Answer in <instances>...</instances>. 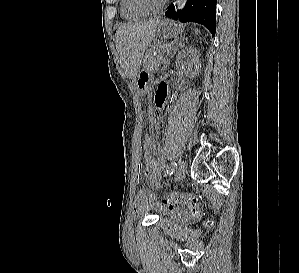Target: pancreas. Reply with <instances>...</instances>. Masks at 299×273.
Here are the masks:
<instances>
[{
	"instance_id": "pancreas-1",
	"label": "pancreas",
	"mask_w": 299,
	"mask_h": 273,
	"mask_svg": "<svg viewBox=\"0 0 299 273\" xmlns=\"http://www.w3.org/2000/svg\"><path fill=\"white\" fill-rule=\"evenodd\" d=\"M166 50H169V48H167ZM166 50H163V55L159 50L151 49L150 51H148L143 60L144 68L148 72H154L155 70H157L162 61H165L164 54L166 53ZM162 57H164L163 60Z\"/></svg>"
}]
</instances>
